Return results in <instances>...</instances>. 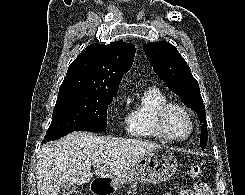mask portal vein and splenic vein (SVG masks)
Returning <instances> with one entry per match:
<instances>
[{"label": "portal vein and splenic vein", "mask_w": 245, "mask_h": 195, "mask_svg": "<svg viewBox=\"0 0 245 195\" xmlns=\"http://www.w3.org/2000/svg\"><path fill=\"white\" fill-rule=\"evenodd\" d=\"M94 168H100V165L98 164V165H94L93 166Z\"/></svg>", "instance_id": "portal-vein-and-splenic-vein-1"}]
</instances>
